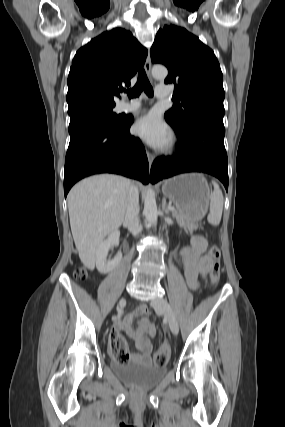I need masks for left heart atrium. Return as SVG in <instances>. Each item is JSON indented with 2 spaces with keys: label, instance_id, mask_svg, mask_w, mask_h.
I'll use <instances>...</instances> for the list:
<instances>
[{
  "label": "left heart atrium",
  "instance_id": "1",
  "mask_svg": "<svg viewBox=\"0 0 285 427\" xmlns=\"http://www.w3.org/2000/svg\"><path fill=\"white\" fill-rule=\"evenodd\" d=\"M134 132L154 147H164L171 140L170 129L154 112L139 118L134 125Z\"/></svg>",
  "mask_w": 285,
  "mask_h": 427
}]
</instances>
